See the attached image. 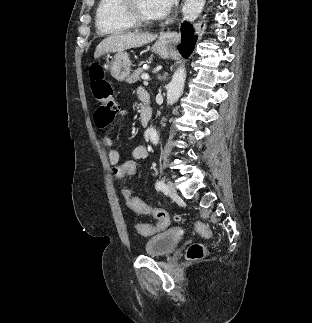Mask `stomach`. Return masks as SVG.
I'll return each mask as SVG.
<instances>
[{"mask_svg": "<svg viewBox=\"0 0 312 323\" xmlns=\"http://www.w3.org/2000/svg\"><path fill=\"white\" fill-rule=\"evenodd\" d=\"M169 44V38H166V36H160L154 46H152L151 50L152 52H155V54H159L160 58H164V60H166L170 54ZM109 70L111 76H113L115 80H118V82L126 80L131 72V60L127 52H118V54L114 56L109 66Z\"/></svg>", "mask_w": 312, "mask_h": 323, "instance_id": "0dacf381", "label": "stomach"}]
</instances>
